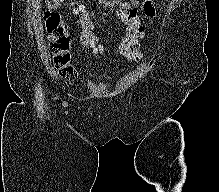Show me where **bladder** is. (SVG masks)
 I'll return each mask as SVG.
<instances>
[{
	"mask_svg": "<svg viewBox=\"0 0 219 192\" xmlns=\"http://www.w3.org/2000/svg\"><path fill=\"white\" fill-rule=\"evenodd\" d=\"M105 79V75L102 74V73H99L93 77L90 78V81L91 82H97V81H101V80H104Z\"/></svg>",
	"mask_w": 219,
	"mask_h": 192,
	"instance_id": "obj_1",
	"label": "bladder"
}]
</instances>
